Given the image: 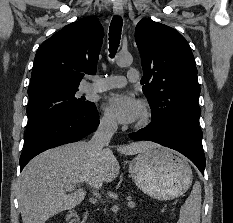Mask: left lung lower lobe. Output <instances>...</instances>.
<instances>
[{
	"label": "left lung lower lobe",
	"instance_id": "1",
	"mask_svg": "<svg viewBox=\"0 0 233 223\" xmlns=\"http://www.w3.org/2000/svg\"><path fill=\"white\" fill-rule=\"evenodd\" d=\"M203 133L197 123H151L129 137L135 141L149 140L174 149L189 158L204 174L205 155L202 146Z\"/></svg>",
	"mask_w": 233,
	"mask_h": 223
}]
</instances>
